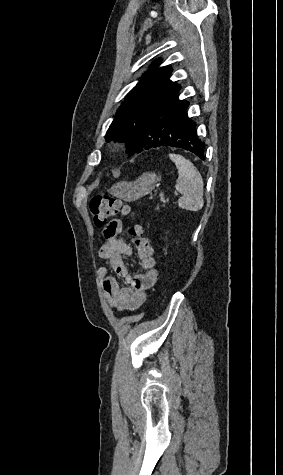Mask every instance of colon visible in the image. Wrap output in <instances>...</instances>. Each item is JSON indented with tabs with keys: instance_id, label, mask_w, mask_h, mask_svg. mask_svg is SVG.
<instances>
[{
	"instance_id": "5ec220e1",
	"label": "colon",
	"mask_w": 283,
	"mask_h": 475,
	"mask_svg": "<svg viewBox=\"0 0 283 475\" xmlns=\"http://www.w3.org/2000/svg\"><path fill=\"white\" fill-rule=\"evenodd\" d=\"M89 211L96 227L103 228L115 214L132 216L131 208L119 198L109 195H97L90 204ZM120 236H128L136 247L142 266L150 271L154 267L153 249L148 237L144 235L139 223L122 224ZM105 234V233H104Z\"/></svg>"
}]
</instances>
